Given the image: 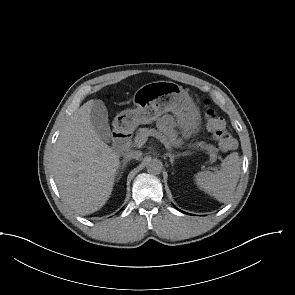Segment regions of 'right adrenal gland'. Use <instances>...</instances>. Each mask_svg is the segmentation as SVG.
I'll return each instance as SVG.
<instances>
[{
  "label": "right adrenal gland",
  "mask_w": 295,
  "mask_h": 295,
  "mask_svg": "<svg viewBox=\"0 0 295 295\" xmlns=\"http://www.w3.org/2000/svg\"><path fill=\"white\" fill-rule=\"evenodd\" d=\"M128 162H129L128 159H124V160L119 164L116 175L118 176V174H119V170H121V172H120L119 177L117 178V180H119V179L122 177L123 171H124V169H125V167H126V165H127Z\"/></svg>",
  "instance_id": "obj_1"
}]
</instances>
